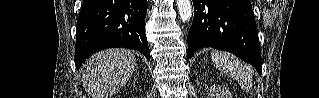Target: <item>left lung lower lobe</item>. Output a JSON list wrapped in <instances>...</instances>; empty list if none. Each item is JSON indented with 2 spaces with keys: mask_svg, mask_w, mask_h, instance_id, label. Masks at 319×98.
Masks as SVG:
<instances>
[{
  "mask_svg": "<svg viewBox=\"0 0 319 98\" xmlns=\"http://www.w3.org/2000/svg\"><path fill=\"white\" fill-rule=\"evenodd\" d=\"M187 58L200 48L228 51L251 63L261 75L262 58L250 0H193Z\"/></svg>",
  "mask_w": 319,
  "mask_h": 98,
  "instance_id": "0a47b994",
  "label": "left lung lower lobe"
}]
</instances>
